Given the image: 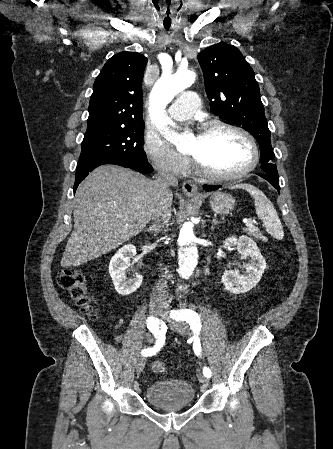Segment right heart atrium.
I'll use <instances>...</instances> for the list:
<instances>
[{
    "label": "right heart atrium",
    "mask_w": 333,
    "mask_h": 449,
    "mask_svg": "<svg viewBox=\"0 0 333 449\" xmlns=\"http://www.w3.org/2000/svg\"><path fill=\"white\" fill-rule=\"evenodd\" d=\"M143 149L149 162L163 173L182 176L189 169V159L172 149L155 134L145 135Z\"/></svg>",
    "instance_id": "right-heart-atrium-1"
}]
</instances>
